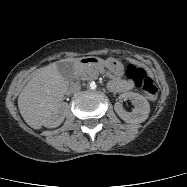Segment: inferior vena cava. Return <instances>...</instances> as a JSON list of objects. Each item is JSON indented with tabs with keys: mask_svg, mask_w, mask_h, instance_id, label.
<instances>
[{
	"mask_svg": "<svg viewBox=\"0 0 187 187\" xmlns=\"http://www.w3.org/2000/svg\"><path fill=\"white\" fill-rule=\"evenodd\" d=\"M81 89V85L78 82L71 83L69 87L70 93H76Z\"/></svg>",
	"mask_w": 187,
	"mask_h": 187,
	"instance_id": "602c4592",
	"label": "inferior vena cava"
}]
</instances>
